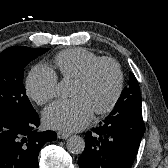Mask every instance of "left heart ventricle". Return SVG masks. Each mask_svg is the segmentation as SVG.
<instances>
[{
	"instance_id": "left-heart-ventricle-1",
	"label": "left heart ventricle",
	"mask_w": 168,
	"mask_h": 168,
	"mask_svg": "<svg viewBox=\"0 0 168 168\" xmlns=\"http://www.w3.org/2000/svg\"><path fill=\"white\" fill-rule=\"evenodd\" d=\"M116 73L110 64H101L87 83L74 82L71 96L84 98L92 110L104 106L115 88Z\"/></svg>"
}]
</instances>
